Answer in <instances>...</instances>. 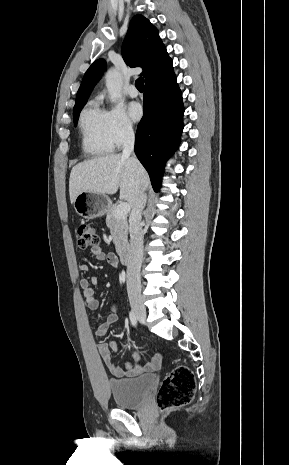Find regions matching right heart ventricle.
I'll return each mask as SVG.
<instances>
[{"mask_svg": "<svg viewBox=\"0 0 289 465\" xmlns=\"http://www.w3.org/2000/svg\"><path fill=\"white\" fill-rule=\"evenodd\" d=\"M79 132L82 150L93 157L103 156L113 151L106 124V111L97 100L91 101L79 117Z\"/></svg>", "mask_w": 289, "mask_h": 465, "instance_id": "e07e8e85", "label": "right heart ventricle"}]
</instances>
